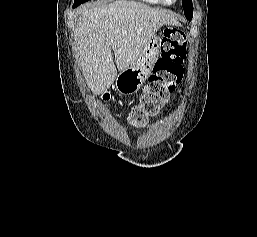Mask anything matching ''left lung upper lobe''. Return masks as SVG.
<instances>
[{
    "instance_id": "1",
    "label": "left lung upper lobe",
    "mask_w": 257,
    "mask_h": 237,
    "mask_svg": "<svg viewBox=\"0 0 257 237\" xmlns=\"http://www.w3.org/2000/svg\"><path fill=\"white\" fill-rule=\"evenodd\" d=\"M185 17L190 21L192 20L193 5L192 0H182Z\"/></svg>"
}]
</instances>
